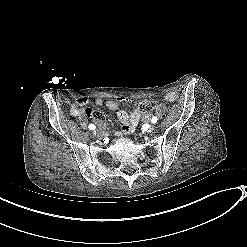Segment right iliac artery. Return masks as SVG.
<instances>
[{
    "label": "right iliac artery",
    "mask_w": 247,
    "mask_h": 247,
    "mask_svg": "<svg viewBox=\"0 0 247 247\" xmlns=\"http://www.w3.org/2000/svg\"><path fill=\"white\" fill-rule=\"evenodd\" d=\"M89 129L94 130L95 129V125L89 124Z\"/></svg>",
    "instance_id": "82829eb1"
}]
</instances>
